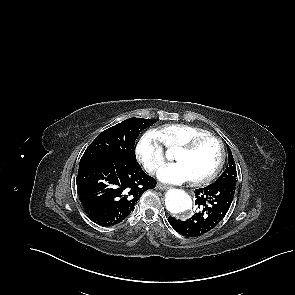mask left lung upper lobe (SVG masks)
<instances>
[{"mask_svg":"<svg viewBox=\"0 0 295 295\" xmlns=\"http://www.w3.org/2000/svg\"><path fill=\"white\" fill-rule=\"evenodd\" d=\"M236 166L235 162L231 153V150L228 148V166L226 167L225 171L222 173V175L214 182H225V181H233L236 183Z\"/></svg>","mask_w":295,"mask_h":295,"instance_id":"left-lung-upper-lobe-1","label":"left lung upper lobe"}]
</instances>
